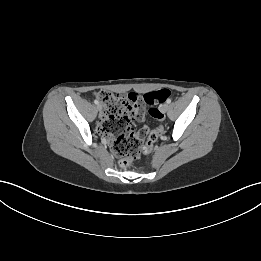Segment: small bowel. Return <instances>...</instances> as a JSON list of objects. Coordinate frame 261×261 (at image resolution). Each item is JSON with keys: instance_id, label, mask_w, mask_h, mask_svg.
Returning <instances> with one entry per match:
<instances>
[{"instance_id": "obj_1", "label": "small bowel", "mask_w": 261, "mask_h": 261, "mask_svg": "<svg viewBox=\"0 0 261 261\" xmlns=\"http://www.w3.org/2000/svg\"><path fill=\"white\" fill-rule=\"evenodd\" d=\"M132 96L138 97L137 95H133V94ZM133 117L139 121H143L145 118L144 107L140 99H138L136 102V106L133 110ZM148 136H149V127L143 126L142 129L140 130V138L146 139Z\"/></svg>"}]
</instances>
